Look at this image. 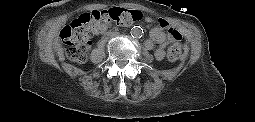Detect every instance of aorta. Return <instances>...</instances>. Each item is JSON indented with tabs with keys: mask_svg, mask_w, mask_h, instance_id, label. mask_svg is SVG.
<instances>
[{
	"mask_svg": "<svg viewBox=\"0 0 255 122\" xmlns=\"http://www.w3.org/2000/svg\"><path fill=\"white\" fill-rule=\"evenodd\" d=\"M131 35H132L134 38H140V37H142V35H143V29H142V27H140V26H134V27L131 29Z\"/></svg>",
	"mask_w": 255,
	"mask_h": 122,
	"instance_id": "1",
	"label": "aorta"
}]
</instances>
